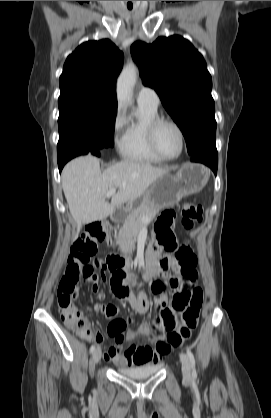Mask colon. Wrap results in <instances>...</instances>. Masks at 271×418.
<instances>
[{"instance_id":"colon-1","label":"colon","mask_w":271,"mask_h":418,"mask_svg":"<svg viewBox=\"0 0 271 418\" xmlns=\"http://www.w3.org/2000/svg\"><path fill=\"white\" fill-rule=\"evenodd\" d=\"M181 215L182 227L190 230L202 220V207L196 203H186L182 207ZM173 219L171 212H165L155 226L157 244L174 253V259L179 265V273L184 278L182 290L174 296L172 302L176 314L171 311L163 314L161 332L166 333V339L159 344L161 349L178 347L189 339L198 324L203 304V291L194 286L197 279L196 257L189 247L177 245L171 229ZM106 232V225L99 221L87 226L85 233L70 249L64 274L57 289V306L64 324L87 336H95L97 340L99 337L92 322L85 317L82 309L74 301L78 295V283L94 275L89 262L96 254L99 244L105 239ZM108 267L111 271L109 263Z\"/></svg>"}]
</instances>
